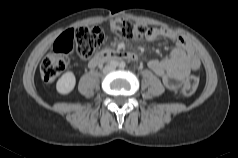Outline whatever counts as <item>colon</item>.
<instances>
[{"instance_id":"obj_1","label":"colon","mask_w":238,"mask_h":158,"mask_svg":"<svg viewBox=\"0 0 238 158\" xmlns=\"http://www.w3.org/2000/svg\"><path fill=\"white\" fill-rule=\"evenodd\" d=\"M111 31L125 39H139L152 33L151 28L123 18L109 22ZM104 33L98 27L81 26L63 33L55 42L53 51L40 66L41 77L45 82L54 81L69 65L70 54L76 50L82 59L91 57L95 49L103 42ZM197 69V67L195 68ZM199 85V77L191 75L180 91L183 97L191 96Z\"/></svg>"}]
</instances>
